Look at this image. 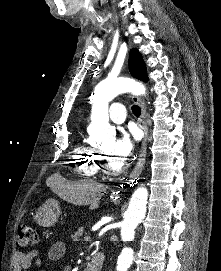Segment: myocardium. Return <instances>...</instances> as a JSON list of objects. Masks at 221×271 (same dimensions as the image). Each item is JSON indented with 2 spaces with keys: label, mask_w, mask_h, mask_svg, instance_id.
<instances>
[{
  "label": "myocardium",
  "mask_w": 221,
  "mask_h": 271,
  "mask_svg": "<svg viewBox=\"0 0 221 271\" xmlns=\"http://www.w3.org/2000/svg\"><path fill=\"white\" fill-rule=\"evenodd\" d=\"M131 162V158H121L119 161H114L113 158H105L104 161H101L102 170L109 173H104L103 177L123 175L124 171L129 170L128 166Z\"/></svg>",
  "instance_id": "1"
}]
</instances>
